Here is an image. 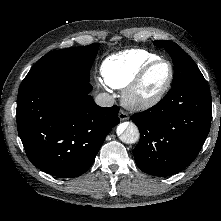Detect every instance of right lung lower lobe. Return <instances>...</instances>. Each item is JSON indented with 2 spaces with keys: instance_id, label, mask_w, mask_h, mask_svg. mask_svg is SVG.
Wrapping results in <instances>:
<instances>
[{
  "instance_id": "obj_1",
  "label": "right lung lower lobe",
  "mask_w": 221,
  "mask_h": 221,
  "mask_svg": "<svg viewBox=\"0 0 221 221\" xmlns=\"http://www.w3.org/2000/svg\"><path fill=\"white\" fill-rule=\"evenodd\" d=\"M91 90L89 82H69L18 92V133L34 166L62 178L91 167L107 134L120 122L119 108L98 106Z\"/></svg>"
}]
</instances>
